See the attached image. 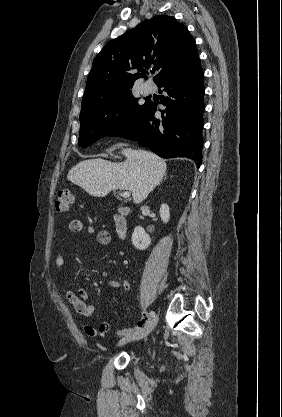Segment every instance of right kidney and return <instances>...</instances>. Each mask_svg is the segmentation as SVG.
<instances>
[{
	"label": "right kidney",
	"mask_w": 282,
	"mask_h": 417,
	"mask_svg": "<svg viewBox=\"0 0 282 417\" xmlns=\"http://www.w3.org/2000/svg\"><path fill=\"white\" fill-rule=\"evenodd\" d=\"M159 213L161 221H163V223H168L170 219L168 204H165V202L164 204H161ZM131 239L132 245H134L136 249H140V251H145V249H148L149 245H151V239L146 231H144L143 227H135Z\"/></svg>",
	"instance_id": "1"
}]
</instances>
